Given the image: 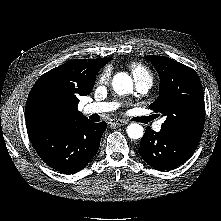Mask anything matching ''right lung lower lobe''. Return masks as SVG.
<instances>
[{
	"mask_svg": "<svg viewBox=\"0 0 221 221\" xmlns=\"http://www.w3.org/2000/svg\"><path fill=\"white\" fill-rule=\"evenodd\" d=\"M105 122L87 118L68 120L55 126H27L32 145L42 160L62 173L82 170L96 155Z\"/></svg>",
	"mask_w": 221,
	"mask_h": 221,
	"instance_id": "right-lung-lower-lobe-1",
	"label": "right lung lower lobe"
}]
</instances>
